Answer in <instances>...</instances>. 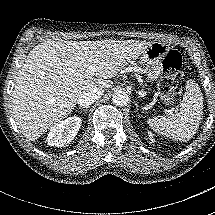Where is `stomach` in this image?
I'll return each mask as SVG.
<instances>
[{
    "instance_id": "0dacf381",
    "label": "stomach",
    "mask_w": 215,
    "mask_h": 215,
    "mask_svg": "<svg viewBox=\"0 0 215 215\" xmlns=\"http://www.w3.org/2000/svg\"><path fill=\"white\" fill-rule=\"evenodd\" d=\"M169 44L152 42L140 55L139 64L144 67L143 72L147 74L150 81L157 79L162 71L163 59L170 51Z\"/></svg>"
}]
</instances>
